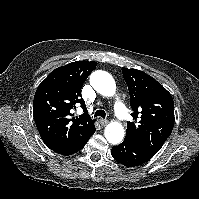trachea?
<instances>
[{
    "label": "trachea",
    "mask_w": 199,
    "mask_h": 199,
    "mask_svg": "<svg viewBox=\"0 0 199 199\" xmlns=\"http://www.w3.org/2000/svg\"><path fill=\"white\" fill-rule=\"evenodd\" d=\"M94 117H102L105 118L106 117V113L104 110L99 109L95 112Z\"/></svg>",
    "instance_id": "obj_1"
}]
</instances>
